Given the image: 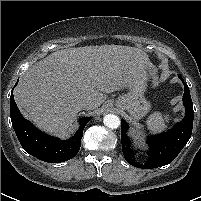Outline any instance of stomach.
<instances>
[{
	"label": "stomach",
	"instance_id": "stomach-1",
	"mask_svg": "<svg viewBox=\"0 0 201 201\" xmlns=\"http://www.w3.org/2000/svg\"><path fill=\"white\" fill-rule=\"evenodd\" d=\"M147 86L148 76L146 73L132 76L127 83L128 92L117 98L116 107L122 111H127L130 118L134 120L141 119L151 108L144 95Z\"/></svg>",
	"mask_w": 201,
	"mask_h": 201
}]
</instances>
